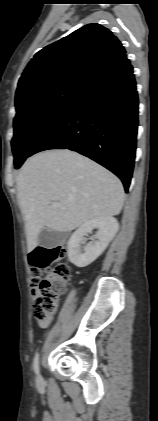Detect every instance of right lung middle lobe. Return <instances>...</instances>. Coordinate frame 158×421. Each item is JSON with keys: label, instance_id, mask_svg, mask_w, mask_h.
Returning <instances> with one entry per match:
<instances>
[{"label": "right lung middle lobe", "instance_id": "dd1d6c3e", "mask_svg": "<svg viewBox=\"0 0 158 421\" xmlns=\"http://www.w3.org/2000/svg\"><path fill=\"white\" fill-rule=\"evenodd\" d=\"M84 85H63L31 94L18 102L11 141L15 168L30 156L33 147L68 110Z\"/></svg>", "mask_w": 158, "mask_h": 421}]
</instances>
